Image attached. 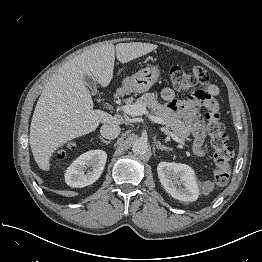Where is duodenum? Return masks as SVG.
<instances>
[{"instance_id":"obj_1","label":"duodenum","mask_w":262,"mask_h":262,"mask_svg":"<svg viewBox=\"0 0 262 262\" xmlns=\"http://www.w3.org/2000/svg\"><path fill=\"white\" fill-rule=\"evenodd\" d=\"M118 96V94L117 93H113V97H117Z\"/></svg>"}]
</instances>
